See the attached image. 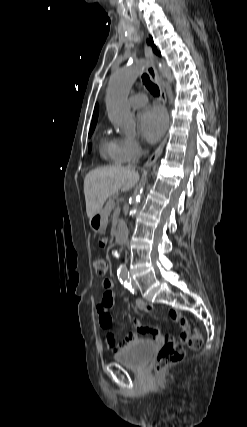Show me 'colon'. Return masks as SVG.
<instances>
[{
	"label": "colon",
	"instance_id": "colon-1",
	"mask_svg": "<svg viewBox=\"0 0 247 427\" xmlns=\"http://www.w3.org/2000/svg\"><path fill=\"white\" fill-rule=\"evenodd\" d=\"M94 269L99 276H104L108 271V263L103 258H97L93 262ZM188 346L192 349H198L202 345V337L198 332H195L189 337ZM185 350L180 343L165 342L158 352L155 367L161 370L169 365L175 364L182 360Z\"/></svg>",
	"mask_w": 247,
	"mask_h": 427
}]
</instances>
